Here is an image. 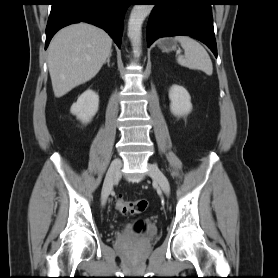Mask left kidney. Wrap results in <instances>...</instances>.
<instances>
[{"mask_svg":"<svg viewBox=\"0 0 278 278\" xmlns=\"http://www.w3.org/2000/svg\"><path fill=\"white\" fill-rule=\"evenodd\" d=\"M169 99L171 112L175 116H183L191 112V97L184 87L172 85L169 90Z\"/></svg>","mask_w":278,"mask_h":278,"instance_id":"1","label":"left kidney"}]
</instances>
